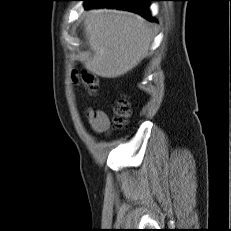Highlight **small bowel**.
Instances as JSON below:
<instances>
[{"label":"small bowel","instance_id":"1","mask_svg":"<svg viewBox=\"0 0 231 231\" xmlns=\"http://www.w3.org/2000/svg\"><path fill=\"white\" fill-rule=\"evenodd\" d=\"M87 119L91 129L96 133H104L109 130L110 121L102 110H87Z\"/></svg>","mask_w":231,"mask_h":231}]
</instances>
